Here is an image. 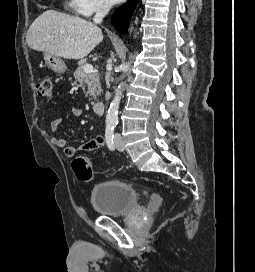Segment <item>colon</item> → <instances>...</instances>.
<instances>
[{"mask_svg":"<svg viewBox=\"0 0 255 272\" xmlns=\"http://www.w3.org/2000/svg\"><path fill=\"white\" fill-rule=\"evenodd\" d=\"M39 96L51 98L53 96V80L47 75L40 79L37 85ZM76 177L81 181H89L92 178L93 171L88 157L80 156L72 164Z\"/></svg>","mask_w":255,"mask_h":272,"instance_id":"1","label":"colon"}]
</instances>
